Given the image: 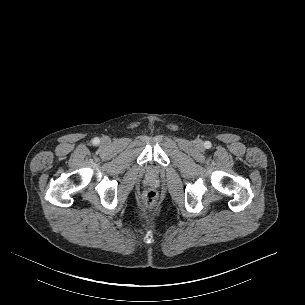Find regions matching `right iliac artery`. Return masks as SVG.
Here are the masks:
<instances>
[{
  "label": "right iliac artery",
  "mask_w": 305,
  "mask_h": 305,
  "mask_svg": "<svg viewBox=\"0 0 305 305\" xmlns=\"http://www.w3.org/2000/svg\"><path fill=\"white\" fill-rule=\"evenodd\" d=\"M99 141H100V140H99V138H94V139H93V144H95V145H96V144H98V143H99Z\"/></svg>",
  "instance_id": "1"
}]
</instances>
